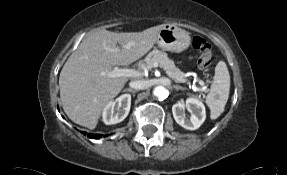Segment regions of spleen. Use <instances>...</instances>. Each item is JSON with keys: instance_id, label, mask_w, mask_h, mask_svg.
Masks as SVG:
<instances>
[{"instance_id": "obj_1", "label": "spleen", "mask_w": 287, "mask_h": 175, "mask_svg": "<svg viewBox=\"0 0 287 175\" xmlns=\"http://www.w3.org/2000/svg\"><path fill=\"white\" fill-rule=\"evenodd\" d=\"M230 91V75L224 61L215 67V75L211 84L206 104L211 110V119H217L224 111Z\"/></svg>"}]
</instances>
